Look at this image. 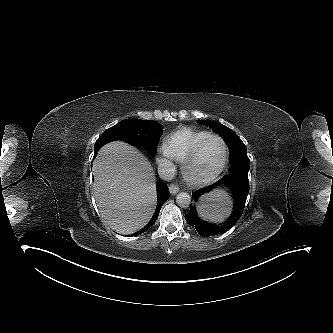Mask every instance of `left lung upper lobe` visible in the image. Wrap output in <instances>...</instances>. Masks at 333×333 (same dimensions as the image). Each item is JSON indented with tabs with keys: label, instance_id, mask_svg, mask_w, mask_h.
I'll use <instances>...</instances> for the list:
<instances>
[{
	"label": "left lung upper lobe",
	"instance_id": "obj_1",
	"mask_svg": "<svg viewBox=\"0 0 333 333\" xmlns=\"http://www.w3.org/2000/svg\"><path fill=\"white\" fill-rule=\"evenodd\" d=\"M197 122L211 127L213 130L219 133L226 142L231 154V167L229 169L230 173L226 176L234 179H241L245 177L248 178L250 161L247 156L246 146L237 136V134L227 126L214 121L198 120Z\"/></svg>",
	"mask_w": 333,
	"mask_h": 333
}]
</instances>
